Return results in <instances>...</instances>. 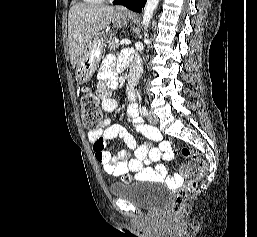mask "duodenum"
<instances>
[{
    "instance_id": "1",
    "label": "duodenum",
    "mask_w": 257,
    "mask_h": 237,
    "mask_svg": "<svg viewBox=\"0 0 257 237\" xmlns=\"http://www.w3.org/2000/svg\"><path fill=\"white\" fill-rule=\"evenodd\" d=\"M130 74H131V79L127 85V94L128 97L131 101L135 100V81L137 77V67L136 65H132L130 67Z\"/></svg>"
}]
</instances>
